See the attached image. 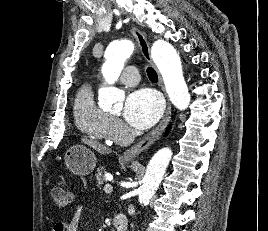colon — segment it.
<instances>
[{"instance_id":"colon-1","label":"colon","mask_w":268,"mask_h":231,"mask_svg":"<svg viewBox=\"0 0 268 231\" xmlns=\"http://www.w3.org/2000/svg\"><path fill=\"white\" fill-rule=\"evenodd\" d=\"M52 197L58 208L64 209L70 203V196L68 192L62 188L59 187L53 188Z\"/></svg>"}]
</instances>
